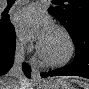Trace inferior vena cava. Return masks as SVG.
I'll return each mask as SVG.
<instances>
[{
    "instance_id": "inferior-vena-cava-1",
    "label": "inferior vena cava",
    "mask_w": 89,
    "mask_h": 89,
    "mask_svg": "<svg viewBox=\"0 0 89 89\" xmlns=\"http://www.w3.org/2000/svg\"><path fill=\"white\" fill-rule=\"evenodd\" d=\"M24 47H25V42L22 41L19 43L15 57H14V64L12 68L10 69L8 75L10 77H13L14 79L22 78L23 72H22V61L24 58ZM23 87H19V89H22Z\"/></svg>"
}]
</instances>
